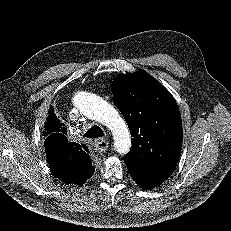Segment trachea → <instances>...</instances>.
I'll return each instance as SVG.
<instances>
[{"mask_svg":"<svg viewBox=\"0 0 231 231\" xmlns=\"http://www.w3.org/2000/svg\"><path fill=\"white\" fill-rule=\"evenodd\" d=\"M84 136L91 139H97L103 137L104 132L99 126L94 125L88 129V131L84 134Z\"/></svg>","mask_w":231,"mask_h":231,"instance_id":"1","label":"trachea"}]
</instances>
